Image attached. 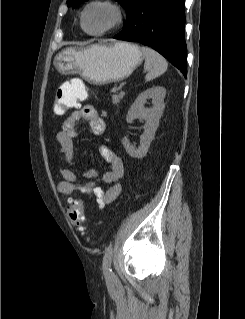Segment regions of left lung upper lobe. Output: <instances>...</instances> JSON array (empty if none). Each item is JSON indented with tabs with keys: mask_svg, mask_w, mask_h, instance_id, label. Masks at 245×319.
Instances as JSON below:
<instances>
[{
	"mask_svg": "<svg viewBox=\"0 0 245 319\" xmlns=\"http://www.w3.org/2000/svg\"><path fill=\"white\" fill-rule=\"evenodd\" d=\"M84 1H86V0H67V6H72V5L76 6ZM116 1L119 2L122 6H124V8L126 10V14H127V21H128L139 0H116Z\"/></svg>",
	"mask_w": 245,
	"mask_h": 319,
	"instance_id": "1",
	"label": "left lung upper lobe"
}]
</instances>
